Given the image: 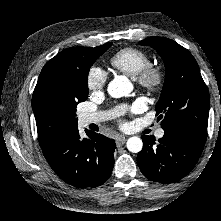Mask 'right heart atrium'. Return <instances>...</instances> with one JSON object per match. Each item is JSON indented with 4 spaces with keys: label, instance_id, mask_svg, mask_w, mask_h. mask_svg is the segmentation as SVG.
I'll return each mask as SVG.
<instances>
[{
    "label": "right heart atrium",
    "instance_id": "right-heart-atrium-1",
    "mask_svg": "<svg viewBox=\"0 0 221 221\" xmlns=\"http://www.w3.org/2000/svg\"><path fill=\"white\" fill-rule=\"evenodd\" d=\"M86 83L89 90L100 91L107 83V73L98 67H91L86 76Z\"/></svg>",
    "mask_w": 221,
    "mask_h": 221
}]
</instances>
